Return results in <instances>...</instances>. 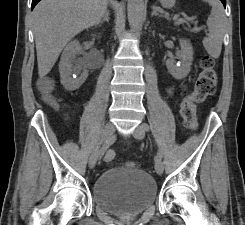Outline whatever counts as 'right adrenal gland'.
<instances>
[{"instance_id":"right-adrenal-gland-1","label":"right adrenal gland","mask_w":245,"mask_h":225,"mask_svg":"<svg viewBox=\"0 0 245 225\" xmlns=\"http://www.w3.org/2000/svg\"><path fill=\"white\" fill-rule=\"evenodd\" d=\"M109 15H110V13H109V10H107L106 12H105V14H104V16H103V19L100 21V23L98 24L99 26L103 23V22H107V23H109Z\"/></svg>"}]
</instances>
